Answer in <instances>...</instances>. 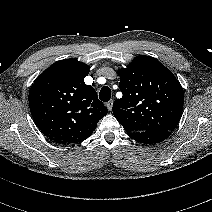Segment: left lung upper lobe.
<instances>
[{"mask_svg":"<svg viewBox=\"0 0 212 212\" xmlns=\"http://www.w3.org/2000/svg\"><path fill=\"white\" fill-rule=\"evenodd\" d=\"M123 97L113 103V114L127 133L173 131L183 111V88L158 60L140 55L118 71Z\"/></svg>","mask_w":212,"mask_h":212,"instance_id":"left-lung-upper-lobe-1","label":"left lung upper lobe"}]
</instances>
